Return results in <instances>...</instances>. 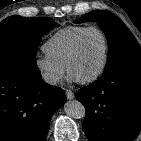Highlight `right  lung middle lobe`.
<instances>
[{
	"instance_id": "right-lung-middle-lobe-1",
	"label": "right lung middle lobe",
	"mask_w": 141,
	"mask_h": 141,
	"mask_svg": "<svg viewBox=\"0 0 141 141\" xmlns=\"http://www.w3.org/2000/svg\"><path fill=\"white\" fill-rule=\"evenodd\" d=\"M58 24L43 18L10 16L0 22V66H37L36 51L43 35Z\"/></svg>"
}]
</instances>
